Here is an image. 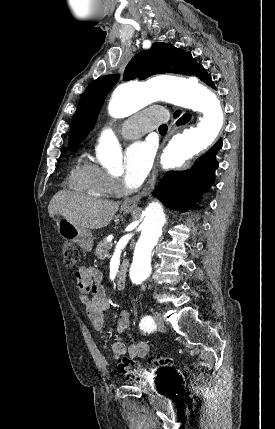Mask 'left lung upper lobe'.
Instances as JSON below:
<instances>
[{
    "mask_svg": "<svg viewBox=\"0 0 275 429\" xmlns=\"http://www.w3.org/2000/svg\"><path fill=\"white\" fill-rule=\"evenodd\" d=\"M189 52L169 43L157 42L149 50L138 53L125 68L123 77L145 79L160 73H178L197 76L200 68ZM116 75L99 77L86 88L71 121L70 148L77 146L95 124L104 98L117 81Z\"/></svg>",
    "mask_w": 275,
    "mask_h": 429,
    "instance_id": "left-lung-upper-lobe-1",
    "label": "left lung upper lobe"
}]
</instances>
